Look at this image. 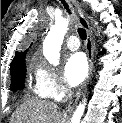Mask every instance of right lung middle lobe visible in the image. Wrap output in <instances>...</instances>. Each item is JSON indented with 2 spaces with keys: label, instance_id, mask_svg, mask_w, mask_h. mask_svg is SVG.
Wrapping results in <instances>:
<instances>
[{
  "label": "right lung middle lobe",
  "instance_id": "obj_1",
  "mask_svg": "<svg viewBox=\"0 0 122 123\" xmlns=\"http://www.w3.org/2000/svg\"><path fill=\"white\" fill-rule=\"evenodd\" d=\"M11 74V90L16 91L24 88V79L26 76L25 62L10 70Z\"/></svg>",
  "mask_w": 122,
  "mask_h": 123
}]
</instances>
